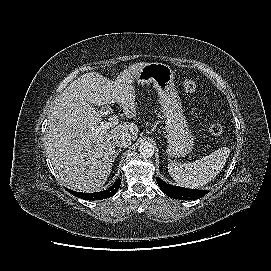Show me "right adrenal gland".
Listing matches in <instances>:
<instances>
[{
    "label": "right adrenal gland",
    "instance_id": "obj_1",
    "mask_svg": "<svg viewBox=\"0 0 271 271\" xmlns=\"http://www.w3.org/2000/svg\"><path fill=\"white\" fill-rule=\"evenodd\" d=\"M121 149H117L113 155V162L115 161L116 157L119 155V153L121 152Z\"/></svg>",
    "mask_w": 271,
    "mask_h": 271
}]
</instances>
